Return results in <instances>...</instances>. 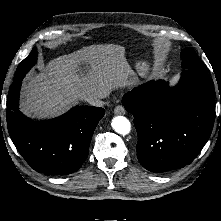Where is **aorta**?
<instances>
[{
  "instance_id": "1",
  "label": "aorta",
  "mask_w": 221,
  "mask_h": 221,
  "mask_svg": "<svg viewBox=\"0 0 221 221\" xmlns=\"http://www.w3.org/2000/svg\"><path fill=\"white\" fill-rule=\"evenodd\" d=\"M111 125H112L113 129L121 135H126L131 130V124H130L129 120L124 116L114 117L112 119Z\"/></svg>"
}]
</instances>
